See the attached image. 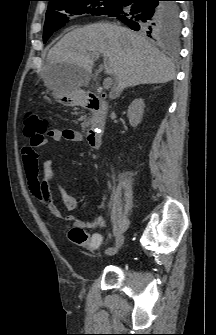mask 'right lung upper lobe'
<instances>
[{"instance_id": "cb5924a9", "label": "right lung upper lobe", "mask_w": 216, "mask_h": 335, "mask_svg": "<svg viewBox=\"0 0 216 335\" xmlns=\"http://www.w3.org/2000/svg\"><path fill=\"white\" fill-rule=\"evenodd\" d=\"M47 1H49V4H50L51 2H53V1H55V0H47Z\"/></svg>"}]
</instances>
